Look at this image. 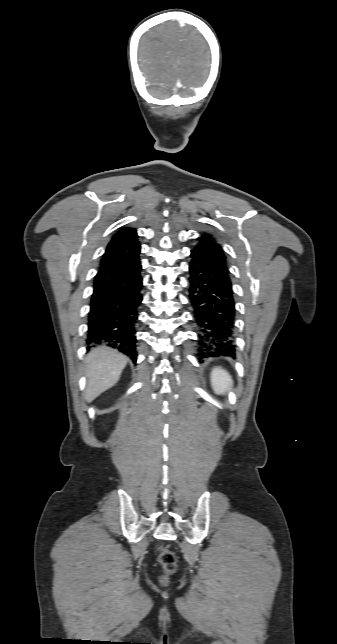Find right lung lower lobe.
Returning <instances> with one entry per match:
<instances>
[{
	"label": "right lung lower lobe",
	"mask_w": 337,
	"mask_h": 644,
	"mask_svg": "<svg viewBox=\"0 0 337 644\" xmlns=\"http://www.w3.org/2000/svg\"><path fill=\"white\" fill-rule=\"evenodd\" d=\"M139 258L100 268L94 280L87 343L118 348L136 362L135 324L141 304Z\"/></svg>",
	"instance_id": "1"
}]
</instances>
